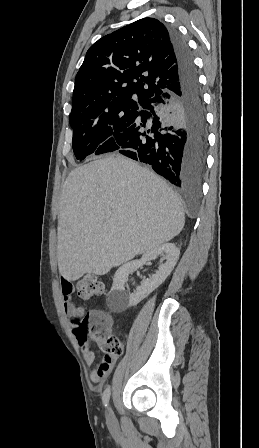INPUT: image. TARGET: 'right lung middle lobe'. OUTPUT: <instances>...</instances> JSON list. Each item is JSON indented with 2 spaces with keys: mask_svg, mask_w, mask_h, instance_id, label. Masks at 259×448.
Segmentation results:
<instances>
[{
  "mask_svg": "<svg viewBox=\"0 0 259 448\" xmlns=\"http://www.w3.org/2000/svg\"><path fill=\"white\" fill-rule=\"evenodd\" d=\"M142 110V105L109 109L100 112H80L70 115L73 128V151L77 159L112 152L119 135L130 126Z\"/></svg>",
  "mask_w": 259,
  "mask_h": 448,
  "instance_id": "dd1d6c3e",
  "label": "right lung middle lobe"
}]
</instances>
